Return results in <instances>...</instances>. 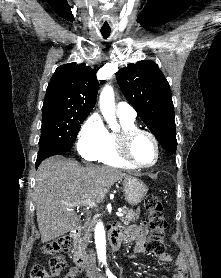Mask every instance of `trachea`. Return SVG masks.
<instances>
[{"mask_svg":"<svg viewBox=\"0 0 221 278\" xmlns=\"http://www.w3.org/2000/svg\"><path fill=\"white\" fill-rule=\"evenodd\" d=\"M111 30H101L102 36L106 39L110 36Z\"/></svg>","mask_w":221,"mask_h":278,"instance_id":"obj_1","label":"trachea"}]
</instances>
